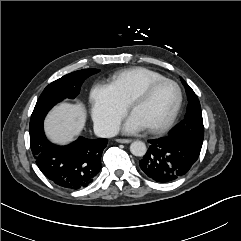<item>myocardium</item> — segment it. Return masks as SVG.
Returning <instances> with one entry per match:
<instances>
[{
  "label": "myocardium",
  "mask_w": 241,
  "mask_h": 241,
  "mask_svg": "<svg viewBox=\"0 0 241 241\" xmlns=\"http://www.w3.org/2000/svg\"><path fill=\"white\" fill-rule=\"evenodd\" d=\"M165 83H170L176 87L177 92H178L177 104H176V107H175L171 117L168 119V121L166 123H164L163 125H160V126L147 127V129L152 133H157V134L164 133V132L168 131L175 124V122L178 118V115L180 113L182 104H183V92H182L180 85L177 82H175L174 80H171L168 78H163L160 80L153 81V82L149 83L148 85H146L131 100V102L129 104V110L132 113L133 110L136 108V106H138L142 102L146 101L157 87H159L160 85L165 84Z\"/></svg>",
  "instance_id": "myocardium-1"
}]
</instances>
